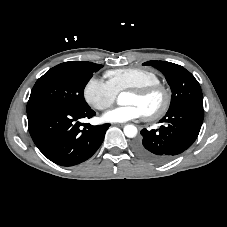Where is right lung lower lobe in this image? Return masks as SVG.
<instances>
[{"instance_id":"obj_1","label":"right lung lower lobe","mask_w":227,"mask_h":227,"mask_svg":"<svg viewBox=\"0 0 227 227\" xmlns=\"http://www.w3.org/2000/svg\"><path fill=\"white\" fill-rule=\"evenodd\" d=\"M28 112L30 135L38 149L52 162L72 166L90 158L103 142L110 124L85 128L79 121L96 113L84 109L43 105Z\"/></svg>"}]
</instances>
